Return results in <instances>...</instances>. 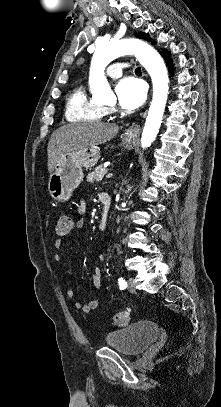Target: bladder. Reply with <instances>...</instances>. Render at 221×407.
Here are the masks:
<instances>
[{"label": "bladder", "instance_id": "obj_1", "mask_svg": "<svg viewBox=\"0 0 221 407\" xmlns=\"http://www.w3.org/2000/svg\"><path fill=\"white\" fill-rule=\"evenodd\" d=\"M159 332L155 320H139L125 328L108 332L105 342L120 353L128 356L137 355L146 350Z\"/></svg>", "mask_w": 221, "mask_h": 407}]
</instances>
